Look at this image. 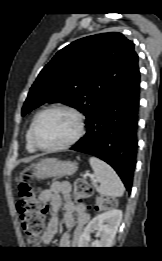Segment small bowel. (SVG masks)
I'll use <instances>...</instances> for the list:
<instances>
[{
    "instance_id": "c3829d8e",
    "label": "small bowel",
    "mask_w": 162,
    "mask_h": 261,
    "mask_svg": "<svg viewBox=\"0 0 162 261\" xmlns=\"http://www.w3.org/2000/svg\"><path fill=\"white\" fill-rule=\"evenodd\" d=\"M39 199L44 203H49L52 209V217L42 235V243L48 245L58 231L59 220L57 211L61 206L64 208V222L67 227L75 228L79 234L81 227L90 219V215L71 199V185L65 180H55L50 188L44 190L39 195ZM70 239L64 234L60 240V247H67Z\"/></svg>"
}]
</instances>
